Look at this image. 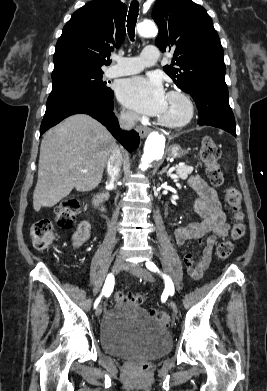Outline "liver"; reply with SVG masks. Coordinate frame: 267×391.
Listing matches in <instances>:
<instances>
[{
  "mask_svg": "<svg viewBox=\"0 0 267 391\" xmlns=\"http://www.w3.org/2000/svg\"><path fill=\"white\" fill-rule=\"evenodd\" d=\"M116 145L108 130L85 114L72 115L48 130L40 146L34 210L53 207L74 188L79 192L95 189Z\"/></svg>",
  "mask_w": 267,
  "mask_h": 391,
  "instance_id": "6515ba94",
  "label": "liver"
}]
</instances>
